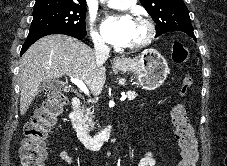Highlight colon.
Masks as SVG:
<instances>
[{
  "mask_svg": "<svg viewBox=\"0 0 227 166\" xmlns=\"http://www.w3.org/2000/svg\"><path fill=\"white\" fill-rule=\"evenodd\" d=\"M189 59L187 47L176 41L173 44V61L186 63ZM193 83V77L186 74L180 86V95L187 94ZM67 105V97L60 91H53L36 110L34 116L24 126V139L19 150L21 166H44L47 151L45 140L48 132L56 124ZM172 123L180 149L178 166H196L198 147L194 128L190 123L187 109L182 103H176L171 109Z\"/></svg>",
  "mask_w": 227,
  "mask_h": 166,
  "instance_id": "colon-1",
  "label": "colon"
}]
</instances>
